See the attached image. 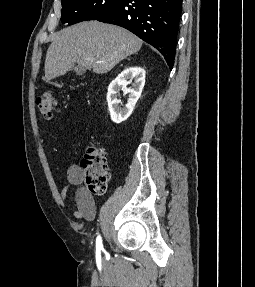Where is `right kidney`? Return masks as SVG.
I'll return each mask as SVG.
<instances>
[{"instance_id": "ca27d5eb", "label": "right kidney", "mask_w": 255, "mask_h": 287, "mask_svg": "<svg viewBox=\"0 0 255 287\" xmlns=\"http://www.w3.org/2000/svg\"><path fill=\"white\" fill-rule=\"evenodd\" d=\"M132 80H134L132 88H126L127 84H130ZM144 84L145 70L138 68V66H135V68H125V70L111 82L108 88L107 102L112 122L121 124V122H125V120L129 118L139 96H141ZM119 90H123L124 94H129L128 102L123 108L119 106V104H121V100H118Z\"/></svg>"}]
</instances>
